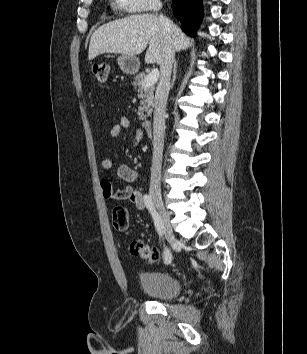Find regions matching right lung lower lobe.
Segmentation results:
<instances>
[{
	"mask_svg": "<svg viewBox=\"0 0 307 354\" xmlns=\"http://www.w3.org/2000/svg\"><path fill=\"white\" fill-rule=\"evenodd\" d=\"M172 8L182 30L195 36L202 18V0H173Z\"/></svg>",
	"mask_w": 307,
	"mask_h": 354,
	"instance_id": "right-lung-lower-lobe-1",
	"label": "right lung lower lobe"
}]
</instances>
